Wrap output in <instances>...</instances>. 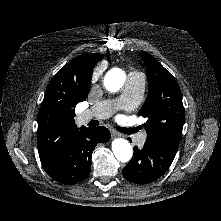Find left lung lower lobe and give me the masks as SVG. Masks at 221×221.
I'll use <instances>...</instances> for the list:
<instances>
[{
    "label": "left lung lower lobe",
    "mask_w": 221,
    "mask_h": 221,
    "mask_svg": "<svg viewBox=\"0 0 221 221\" xmlns=\"http://www.w3.org/2000/svg\"><path fill=\"white\" fill-rule=\"evenodd\" d=\"M134 157L123 168L124 177L135 183H150L162 176L173 162L178 146L174 144H150L134 148Z\"/></svg>",
    "instance_id": "obj_1"
}]
</instances>
